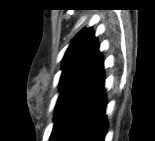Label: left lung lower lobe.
Returning <instances> with one entry per match:
<instances>
[{"label":"left lung lower lobe","mask_w":155,"mask_h":141,"mask_svg":"<svg viewBox=\"0 0 155 141\" xmlns=\"http://www.w3.org/2000/svg\"><path fill=\"white\" fill-rule=\"evenodd\" d=\"M103 63L66 113L57 141H104L108 122Z\"/></svg>","instance_id":"1"}]
</instances>
